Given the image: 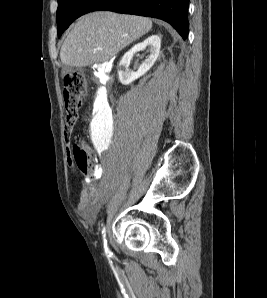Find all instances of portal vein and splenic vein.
Listing matches in <instances>:
<instances>
[{"mask_svg":"<svg viewBox=\"0 0 267 298\" xmlns=\"http://www.w3.org/2000/svg\"><path fill=\"white\" fill-rule=\"evenodd\" d=\"M97 50H101V48H96Z\"/></svg>","mask_w":267,"mask_h":298,"instance_id":"obj_1","label":"portal vein and splenic vein"}]
</instances>
